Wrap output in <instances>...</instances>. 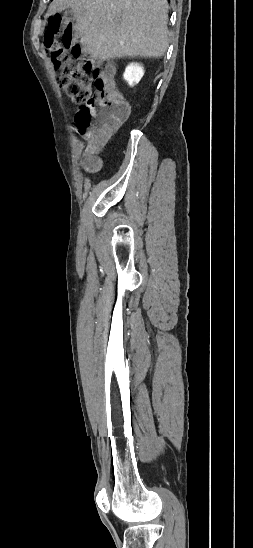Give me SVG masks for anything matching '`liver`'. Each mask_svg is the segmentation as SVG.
Instances as JSON below:
<instances>
[{
    "label": "liver",
    "mask_w": 253,
    "mask_h": 548,
    "mask_svg": "<svg viewBox=\"0 0 253 548\" xmlns=\"http://www.w3.org/2000/svg\"><path fill=\"white\" fill-rule=\"evenodd\" d=\"M67 8L83 50L94 58L161 57L168 48L167 0H53L47 14Z\"/></svg>",
    "instance_id": "obj_1"
}]
</instances>
